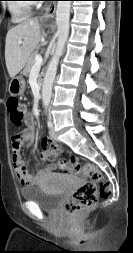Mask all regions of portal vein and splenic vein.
I'll return each mask as SVG.
<instances>
[{"label":"portal vein and splenic vein","mask_w":133,"mask_h":253,"mask_svg":"<svg viewBox=\"0 0 133 253\" xmlns=\"http://www.w3.org/2000/svg\"><path fill=\"white\" fill-rule=\"evenodd\" d=\"M19 43L21 44L22 41H19ZM42 63H43V59H42L41 55H36V57H35V64L33 65L32 68L33 69L34 68H39L42 65Z\"/></svg>","instance_id":"1"}]
</instances>
